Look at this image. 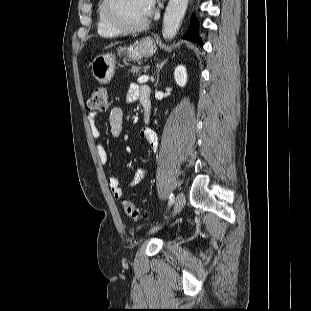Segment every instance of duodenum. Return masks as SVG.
Listing matches in <instances>:
<instances>
[{
  "label": "duodenum",
  "mask_w": 311,
  "mask_h": 311,
  "mask_svg": "<svg viewBox=\"0 0 311 311\" xmlns=\"http://www.w3.org/2000/svg\"><path fill=\"white\" fill-rule=\"evenodd\" d=\"M143 107L145 109V118L147 119L150 114V104L146 101L143 102Z\"/></svg>",
  "instance_id": "obj_1"
}]
</instances>
